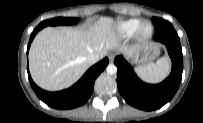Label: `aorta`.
Masks as SVG:
<instances>
[{"label":"aorta","mask_w":203,"mask_h":123,"mask_svg":"<svg viewBox=\"0 0 203 123\" xmlns=\"http://www.w3.org/2000/svg\"><path fill=\"white\" fill-rule=\"evenodd\" d=\"M106 71L110 75H114L117 72V67L115 64H109L106 68Z\"/></svg>","instance_id":"762f6f07"}]
</instances>
